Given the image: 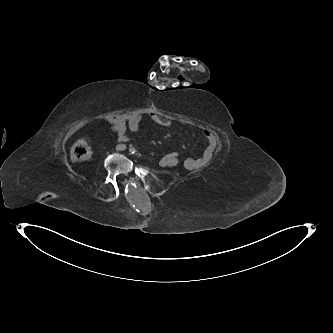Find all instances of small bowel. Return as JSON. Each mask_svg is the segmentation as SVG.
<instances>
[{
	"mask_svg": "<svg viewBox=\"0 0 333 333\" xmlns=\"http://www.w3.org/2000/svg\"><path fill=\"white\" fill-rule=\"evenodd\" d=\"M147 116L154 123L161 126H168L171 124V119L163 114L157 112H150ZM143 115L140 113H133L128 115H118L109 119V130L114 133L120 143H125L130 140L131 136L139 131ZM203 136L207 142V147L197 158L186 157L182 160L183 166L188 170H198L209 163L212 158L215 148V135L209 130L203 131ZM164 157V156H163ZM162 159V158H161ZM180 162V158H174L170 162L161 163L162 167H173Z\"/></svg>",
	"mask_w": 333,
	"mask_h": 333,
	"instance_id": "c3829d8e",
	"label": "small bowel"
}]
</instances>
